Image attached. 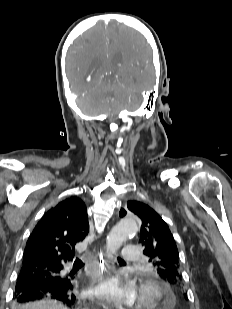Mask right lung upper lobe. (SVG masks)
<instances>
[{
  "instance_id": "1",
  "label": "right lung upper lobe",
  "mask_w": 232,
  "mask_h": 309,
  "mask_svg": "<svg viewBox=\"0 0 232 309\" xmlns=\"http://www.w3.org/2000/svg\"><path fill=\"white\" fill-rule=\"evenodd\" d=\"M89 232L87 210L76 196L48 210L30 234L23 263H33L39 271L54 273L73 259L74 246Z\"/></svg>"
}]
</instances>
